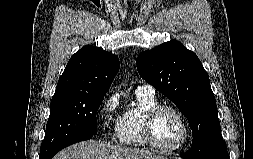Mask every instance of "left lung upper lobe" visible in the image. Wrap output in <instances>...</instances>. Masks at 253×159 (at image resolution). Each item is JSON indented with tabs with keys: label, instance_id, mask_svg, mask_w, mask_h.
<instances>
[{
	"label": "left lung upper lobe",
	"instance_id": "5c2ea615",
	"mask_svg": "<svg viewBox=\"0 0 253 159\" xmlns=\"http://www.w3.org/2000/svg\"><path fill=\"white\" fill-rule=\"evenodd\" d=\"M137 70L146 82L176 104L193 133L191 150L199 157L223 141L210 80L195 53L172 40L141 53Z\"/></svg>",
	"mask_w": 253,
	"mask_h": 159
}]
</instances>
